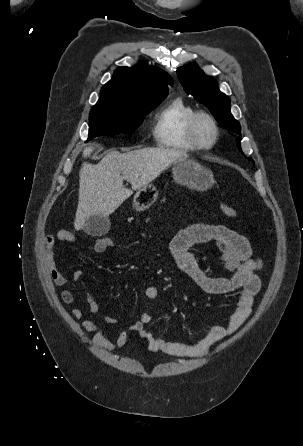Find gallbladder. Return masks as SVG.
I'll list each match as a JSON object with an SVG mask.
<instances>
[{"label":"gallbladder","instance_id":"bac80fb5","mask_svg":"<svg viewBox=\"0 0 303 446\" xmlns=\"http://www.w3.org/2000/svg\"><path fill=\"white\" fill-rule=\"evenodd\" d=\"M110 229V221L106 217L91 216L85 222L84 230L92 236L105 235Z\"/></svg>","mask_w":303,"mask_h":446}]
</instances>
